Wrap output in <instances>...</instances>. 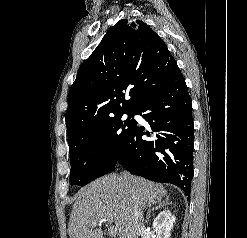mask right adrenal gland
I'll return each mask as SVG.
<instances>
[{
	"instance_id": "right-adrenal-gland-1",
	"label": "right adrenal gland",
	"mask_w": 247,
	"mask_h": 238,
	"mask_svg": "<svg viewBox=\"0 0 247 238\" xmlns=\"http://www.w3.org/2000/svg\"><path fill=\"white\" fill-rule=\"evenodd\" d=\"M168 199H166V202L163 201L161 203H159L157 206L155 207H152V208H149L148 211H147V216H146V220H145V223H148L149 222V218H150V215H151V212L156 210V209H160L162 207H164L165 205H168Z\"/></svg>"
}]
</instances>
